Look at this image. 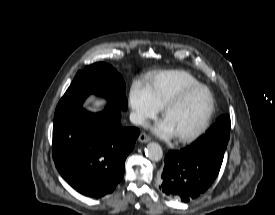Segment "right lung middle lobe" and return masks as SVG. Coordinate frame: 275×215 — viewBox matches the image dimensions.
<instances>
[{
	"instance_id": "obj_1",
	"label": "right lung middle lobe",
	"mask_w": 275,
	"mask_h": 215,
	"mask_svg": "<svg viewBox=\"0 0 275 215\" xmlns=\"http://www.w3.org/2000/svg\"><path fill=\"white\" fill-rule=\"evenodd\" d=\"M104 96L119 109H127L125 83L122 76L106 63H95L78 71L70 87L59 101L55 115L82 108L90 94Z\"/></svg>"
}]
</instances>
